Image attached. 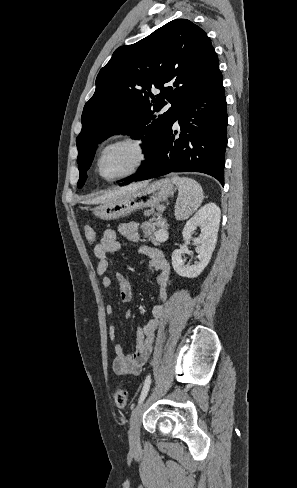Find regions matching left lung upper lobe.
Returning <instances> with one entry per match:
<instances>
[{"label":"left lung upper lobe","mask_w":297,"mask_h":488,"mask_svg":"<svg viewBox=\"0 0 297 488\" xmlns=\"http://www.w3.org/2000/svg\"><path fill=\"white\" fill-rule=\"evenodd\" d=\"M219 73L209 37L186 19H175L139 42L116 49L97 75L95 93L82 113V131L76 138L78 187L87 179L97 144L114 134L142 138L149 158L138 171L146 167L183 107ZM156 88L161 90L158 95L152 93ZM167 101L169 110L157 114Z\"/></svg>","instance_id":"obj_1"}]
</instances>
